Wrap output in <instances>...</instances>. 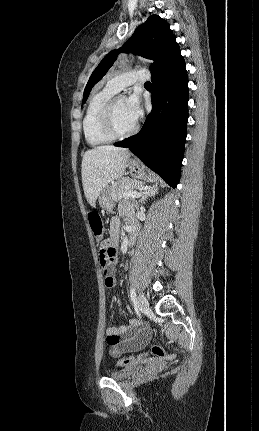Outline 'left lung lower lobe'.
Wrapping results in <instances>:
<instances>
[{"mask_svg":"<svg viewBox=\"0 0 259 431\" xmlns=\"http://www.w3.org/2000/svg\"><path fill=\"white\" fill-rule=\"evenodd\" d=\"M152 111L142 130L115 146L129 148L175 188L181 174L188 120V76L175 41L151 71Z\"/></svg>","mask_w":259,"mask_h":431,"instance_id":"0a47b994","label":"left lung lower lobe"}]
</instances>
